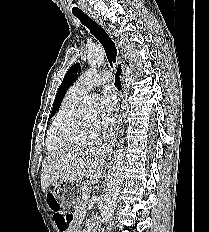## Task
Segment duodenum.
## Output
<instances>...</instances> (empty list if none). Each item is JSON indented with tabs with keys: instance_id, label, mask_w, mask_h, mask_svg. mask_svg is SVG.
<instances>
[{
	"instance_id": "obj_1",
	"label": "duodenum",
	"mask_w": 209,
	"mask_h": 232,
	"mask_svg": "<svg viewBox=\"0 0 209 232\" xmlns=\"http://www.w3.org/2000/svg\"><path fill=\"white\" fill-rule=\"evenodd\" d=\"M90 230H91V232H97V231H96V226H95L94 224H92V225L90 226Z\"/></svg>"
}]
</instances>
